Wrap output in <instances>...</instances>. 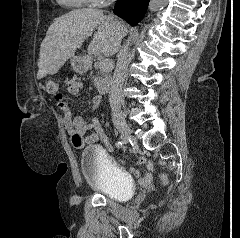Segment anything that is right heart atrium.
I'll use <instances>...</instances> for the list:
<instances>
[{"label":"right heart atrium","instance_id":"d8ad5b80","mask_svg":"<svg viewBox=\"0 0 240 238\" xmlns=\"http://www.w3.org/2000/svg\"><path fill=\"white\" fill-rule=\"evenodd\" d=\"M101 1L105 2V1H107V0H101Z\"/></svg>","mask_w":240,"mask_h":238}]
</instances>
